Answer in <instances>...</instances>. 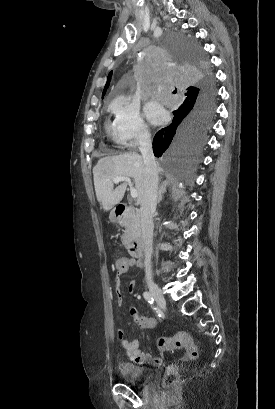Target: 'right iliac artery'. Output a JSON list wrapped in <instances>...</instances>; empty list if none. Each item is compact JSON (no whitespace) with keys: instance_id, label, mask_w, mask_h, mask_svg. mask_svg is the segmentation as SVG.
Returning a JSON list of instances; mask_svg holds the SVG:
<instances>
[{"instance_id":"82829eb1","label":"right iliac artery","mask_w":275,"mask_h":409,"mask_svg":"<svg viewBox=\"0 0 275 409\" xmlns=\"http://www.w3.org/2000/svg\"><path fill=\"white\" fill-rule=\"evenodd\" d=\"M143 297L145 298V300L149 303V304H153L154 303V298L152 296V294L150 292H144L143 293Z\"/></svg>"}]
</instances>
